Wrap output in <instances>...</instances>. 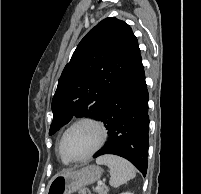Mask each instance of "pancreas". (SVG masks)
Here are the masks:
<instances>
[{
  "instance_id": "cf45deb5",
  "label": "pancreas",
  "mask_w": 201,
  "mask_h": 194,
  "mask_svg": "<svg viewBox=\"0 0 201 194\" xmlns=\"http://www.w3.org/2000/svg\"><path fill=\"white\" fill-rule=\"evenodd\" d=\"M96 191L98 194H107V192L109 191V188L107 186L98 187Z\"/></svg>"
}]
</instances>
